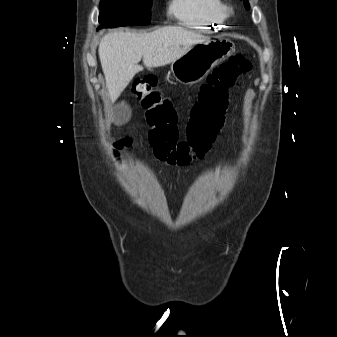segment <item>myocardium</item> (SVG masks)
I'll list each match as a JSON object with an SVG mask.
<instances>
[{"mask_svg": "<svg viewBox=\"0 0 337 337\" xmlns=\"http://www.w3.org/2000/svg\"><path fill=\"white\" fill-rule=\"evenodd\" d=\"M225 12H226V15L229 16L233 13V8L229 6H225Z\"/></svg>", "mask_w": 337, "mask_h": 337, "instance_id": "f54148a6", "label": "myocardium"}]
</instances>
